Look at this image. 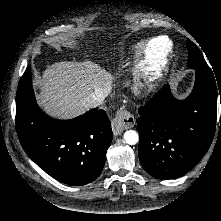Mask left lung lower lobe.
Wrapping results in <instances>:
<instances>
[{"label": "left lung lower lobe", "mask_w": 221, "mask_h": 221, "mask_svg": "<svg viewBox=\"0 0 221 221\" xmlns=\"http://www.w3.org/2000/svg\"><path fill=\"white\" fill-rule=\"evenodd\" d=\"M195 70V86L188 98L176 100L165 85L139 109V160L155 178L183 176L201 160L214 138L221 86L211 70Z\"/></svg>", "instance_id": "left-lung-lower-lobe-1"}]
</instances>
